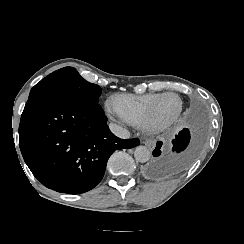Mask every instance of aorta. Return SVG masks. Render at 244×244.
<instances>
[{"instance_id": "obj_1", "label": "aorta", "mask_w": 244, "mask_h": 244, "mask_svg": "<svg viewBox=\"0 0 244 244\" xmlns=\"http://www.w3.org/2000/svg\"><path fill=\"white\" fill-rule=\"evenodd\" d=\"M151 156L150 150L146 146H137L134 151V158L136 161L145 163L149 161Z\"/></svg>"}]
</instances>
